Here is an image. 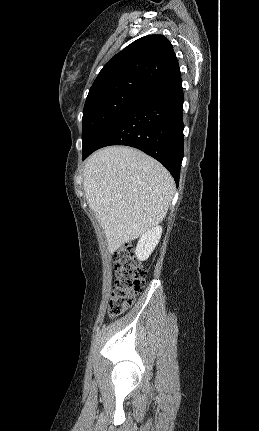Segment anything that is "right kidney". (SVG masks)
<instances>
[{"label":"right kidney","mask_w":259,"mask_h":431,"mask_svg":"<svg viewBox=\"0 0 259 431\" xmlns=\"http://www.w3.org/2000/svg\"><path fill=\"white\" fill-rule=\"evenodd\" d=\"M162 234V227L156 226L144 233L138 241L136 247V255L138 260L144 261L148 259L150 254L157 246Z\"/></svg>","instance_id":"1"}]
</instances>
